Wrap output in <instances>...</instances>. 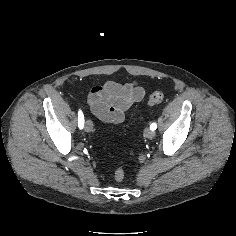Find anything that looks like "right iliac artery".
Here are the masks:
<instances>
[{
  "mask_svg": "<svg viewBox=\"0 0 236 236\" xmlns=\"http://www.w3.org/2000/svg\"><path fill=\"white\" fill-rule=\"evenodd\" d=\"M78 126L80 129L84 127V115L81 110L78 112Z\"/></svg>",
  "mask_w": 236,
  "mask_h": 236,
  "instance_id": "1",
  "label": "right iliac artery"
}]
</instances>
